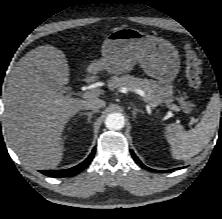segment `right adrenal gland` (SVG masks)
Returning <instances> with one entry per match:
<instances>
[{"instance_id": "obj_1", "label": "right adrenal gland", "mask_w": 222, "mask_h": 219, "mask_svg": "<svg viewBox=\"0 0 222 219\" xmlns=\"http://www.w3.org/2000/svg\"><path fill=\"white\" fill-rule=\"evenodd\" d=\"M95 113V111H92V112H82L80 113V115H86L88 116V123L90 122L91 118H92V115Z\"/></svg>"}]
</instances>
